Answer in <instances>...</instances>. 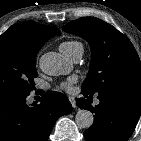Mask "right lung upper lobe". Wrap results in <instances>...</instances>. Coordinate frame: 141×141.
Masks as SVG:
<instances>
[{
  "label": "right lung upper lobe",
  "instance_id": "1",
  "mask_svg": "<svg viewBox=\"0 0 141 141\" xmlns=\"http://www.w3.org/2000/svg\"><path fill=\"white\" fill-rule=\"evenodd\" d=\"M56 35H60V31L55 27L39 25L34 22H24L11 26L0 36V41L21 40L41 49L48 39Z\"/></svg>",
  "mask_w": 141,
  "mask_h": 141
}]
</instances>
